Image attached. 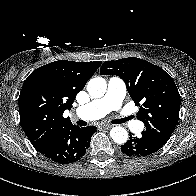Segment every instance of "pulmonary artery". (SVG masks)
I'll use <instances>...</instances> for the list:
<instances>
[{
  "instance_id": "obj_1",
  "label": "pulmonary artery",
  "mask_w": 196,
  "mask_h": 196,
  "mask_svg": "<svg viewBox=\"0 0 196 196\" xmlns=\"http://www.w3.org/2000/svg\"><path fill=\"white\" fill-rule=\"evenodd\" d=\"M125 95L126 85L124 81L119 77H111L108 80L106 93L102 97L76 108L75 115L83 120L99 119L111 111L122 108ZM128 126L133 130H137L139 123L132 122Z\"/></svg>"
}]
</instances>
